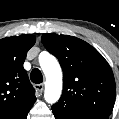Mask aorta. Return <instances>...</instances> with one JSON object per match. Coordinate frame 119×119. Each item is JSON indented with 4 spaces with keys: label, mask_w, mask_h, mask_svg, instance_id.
<instances>
[{
    "label": "aorta",
    "mask_w": 119,
    "mask_h": 119,
    "mask_svg": "<svg viewBox=\"0 0 119 119\" xmlns=\"http://www.w3.org/2000/svg\"><path fill=\"white\" fill-rule=\"evenodd\" d=\"M41 69L46 77L44 98L46 102H57L62 92V71L57 59L44 52L39 56Z\"/></svg>",
    "instance_id": "aorta-1"
}]
</instances>
